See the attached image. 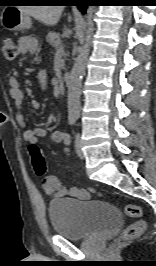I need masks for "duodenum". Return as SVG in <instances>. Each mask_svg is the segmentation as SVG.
Segmentation results:
<instances>
[{"instance_id": "410a0bca", "label": "duodenum", "mask_w": 156, "mask_h": 266, "mask_svg": "<svg viewBox=\"0 0 156 266\" xmlns=\"http://www.w3.org/2000/svg\"><path fill=\"white\" fill-rule=\"evenodd\" d=\"M62 79L64 84L69 85L71 82V74L68 72L64 73Z\"/></svg>"}]
</instances>
